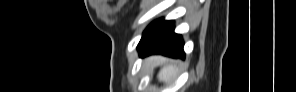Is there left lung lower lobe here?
Returning a JSON list of instances; mask_svg holds the SVG:
<instances>
[{"instance_id":"1","label":"left lung lower lobe","mask_w":296,"mask_h":92,"mask_svg":"<svg viewBox=\"0 0 296 92\" xmlns=\"http://www.w3.org/2000/svg\"><path fill=\"white\" fill-rule=\"evenodd\" d=\"M181 35L174 33V21L159 19L143 38L137 49L141 57L150 54H162L173 58H184Z\"/></svg>"}]
</instances>
